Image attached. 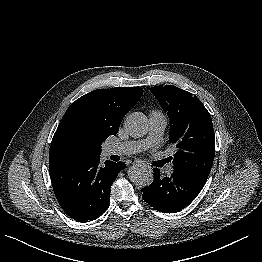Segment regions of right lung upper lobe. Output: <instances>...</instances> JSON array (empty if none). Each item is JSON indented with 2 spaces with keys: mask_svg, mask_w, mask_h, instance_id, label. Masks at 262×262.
I'll use <instances>...</instances> for the list:
<instances>
[{
  "mask_svg": "<svg viewBox=\"0 0 262 262\" xmlns=\"http://www.w3.org/2000/svg\"><path fill=\"white\" fill-rule=\"evenodd\" d=\"M142 93L141 87L98 89L74 101L53 136L49 164L100 156L99 139L117 134Z\"/></svg>",
  "mask_w": 262,
  "mask_h": 262,
  "instance_id": "right-lung-upper-lobe-1",
  "label": "right lung upper lobe"
}]
</instances>
